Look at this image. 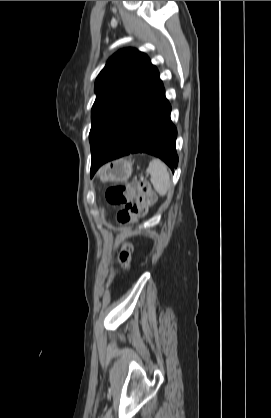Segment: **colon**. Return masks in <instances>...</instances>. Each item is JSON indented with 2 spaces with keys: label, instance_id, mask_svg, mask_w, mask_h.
Wrapping results in <instances>:
<instances>
[{
  "label": "colon",
  "instance_id": "colon-1",
  "mask_svg": "<svg viewBox=\"0 0 271 418\" xmlns=\"http://www.w3.org/2000/svg\"><path fill=\"white\" fill-rule=\"evenodd\" d=\"M107 201L121 209L117 214L118 221L127 225L144 216L148 207L155 201V194L150 185L142 180L128 184H114L106 190ZM132 247L126 245L118 256L120 265L129 269L131 264Z\"/></svg>",
  "mask_w": 271,
  "mask_h": 418
}]
</instances>
